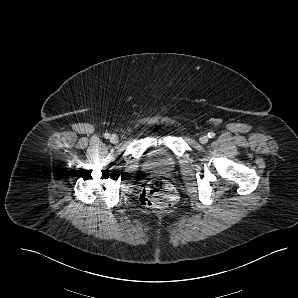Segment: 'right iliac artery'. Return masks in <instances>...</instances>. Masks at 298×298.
Masks as SVG:
<instances>
[{"instance_id": "right-iliac-artery-1", "label": "right iliac artery", "mask_w": 298, "mask_h": 298, "mask_svg": "<svg viewBox=\"0 0 298 298\" xmlns=\"http://www.w3.org/2000/svg\"><path fill=\"white\" fill-rule=\"evenodd\" d=\"M104 137H105L106 139H108V138L110 137V134H109V133H105V134H104Z\"/></svg>"}]
</instances>
